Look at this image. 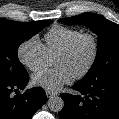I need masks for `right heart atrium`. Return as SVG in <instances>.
<instances>
[{
  "label": "right heart atrium",
  "mask_w": 119,
  "mask_h": 119,
  "mask_svg": "<svg viewBox=\"0 0 119 119\" xmlns=\"http://www.w3.org/2000/svg\"><path fill=\"white\" fill-rule=\"evenodd\" d=\"M17 56L24 66L32 71H37L46 65L49 55L41 41L33 36L19 45Z\"/></svg>",
  "instance_id": "1"
}]
</instances>
